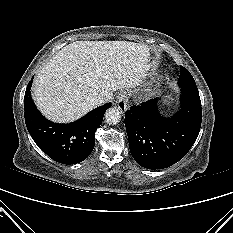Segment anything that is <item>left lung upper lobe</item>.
Here are the masks:
<instances>
[{
    "label": "left lung upper lobe",
    "mask_w": 233,
    "mask_h": 233,
    "mask_svg": "<svg viewBox=\"0 0 233 233\" xmlns=\"http://www.w3.org/2000/svg\"><path fill=\"white\" fill-rule=\"evenodd\" d=\"M180 68L179 86L196 85L190 72L182 66Z\"/></svg>",
    "instance_id": "1"
}]
</instances>
